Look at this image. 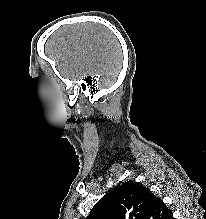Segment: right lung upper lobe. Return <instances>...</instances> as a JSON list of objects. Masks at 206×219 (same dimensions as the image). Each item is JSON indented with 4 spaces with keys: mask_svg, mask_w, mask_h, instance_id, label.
Instances as JSON below:
<instances>
[{
    "mask_svg": "<svg viewBox=\"0 0 206 219\" xmlns=\"http://www.w3.org/2000/svg\"><path fill=\"white\" fill-rule=\"evenodd\" d=\"M86 219L174 218L171 210L147 187L127 181L98 201Z\"/></svg>",
    "mask_w": 206,
    "mask_h": 219,
    "instance_id": "right-lung-upper-lobe-1",
    "label": "right lung upper lobe"
}]
</instances>
